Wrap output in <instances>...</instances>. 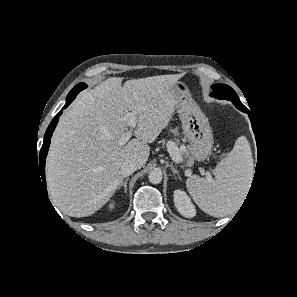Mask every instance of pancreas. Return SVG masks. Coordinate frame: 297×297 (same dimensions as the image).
<instances>
[{
	"mask_svg": "<svg viewBox=\"0 0 297 297\" xmlns=\"http://www.w3.org/2000/svg\"><path fill=\"white\" fill-rule=\"evenodd\" d=\"M171 132H173L175 134L177 133V131L175 129L171 130ZM173 144L176 147V153L181 157V161L183 160V154H184V152L187 154V156L190 154V151L187 148H179L177 146V142H173Z\"/></svg>",
	"mask_w": 297,
	"mask_h": 297,
	"instance_id": "pancreas-1",
	"label": "pancreas"
}]
</instances>
